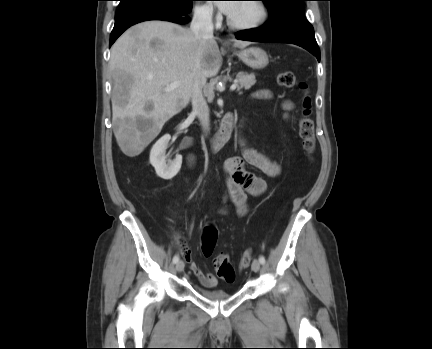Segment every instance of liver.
<instances>
[{
    "mask_svg": "<svg viewBox=\"0 0 432 349\" xmlns=\"http://www.w3.org/2000/svg\"><path fill=\"white\" fill-rule=\"evenodd\" d=\"M250 42L234 40V47ZM222 56L214 38L198 40L191 30L147 21L124 32L111 48L112 124L121 151L138 156L164 124L185 108L196 77L218 74ZM179 82L172 90L167 87Z\"/></svg>",
    "mask_w": 432,
    "mask_h": 349,
    "instance_id": "obj_1",
    "label": "liver"
}]
</instances>
